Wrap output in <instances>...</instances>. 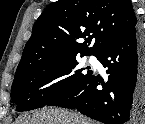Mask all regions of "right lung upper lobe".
<instances>
[{
  "label": "right lung upper lobe",
  "instance_id": "cb5924a9",
  "mask_svg": "<svg viewBox=\"0 0 145 124\" xmlns=\"http://www.w3.org/2000/svg\"><path fill=\"white\" fill-rule=\"evenodd\" d=\"M136 26L130 0L53 2L35 22L15 77L46 60L77 54L96 56L106 44ZM92 39L95 43L88 48Z\"/></svg>",
  "mask_w": 145,
  "mask_h": 124
}]
</instances>
